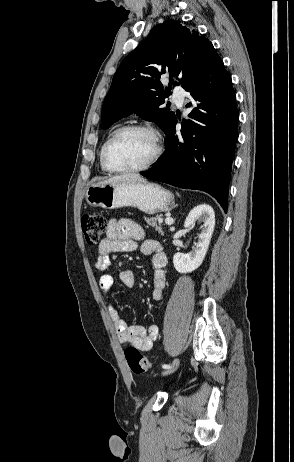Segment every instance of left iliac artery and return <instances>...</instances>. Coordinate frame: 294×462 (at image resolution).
Masks as SVG:
<instances>
[{
  "label": "left iliac artery",
  "mask_w": 294,
  "mask_h": 462,
  "mask_svg": "<svg viewBox=\"0 0 294 462\" xmlns=\"http://www.w3.org/2000/svg\"><path fill=\"white\" fill-rule=\"evenodd\" d=\"M162 368L163 369H169V368H171V365L170 364H164V365H162Z\"/></svg>",
  "instance_id": "left-iliac-artery-1"
}]
</instances>
